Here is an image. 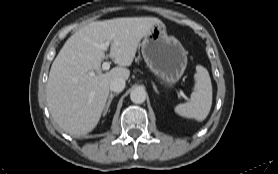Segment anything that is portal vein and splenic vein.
Here are the masks:
<instances>
[{
    "label": "portal vein and splenic vein",
    "mask_w": 278,
    "mask_h": 174,
    "mask_svg": "<svg viewBox=\"0 0 278 174\" xmlns=\"http://www.w3.org/2000/svg\"><path fill=\"white\" fill-rule=\"evenodd\" d=\"M109 44H110L109 42H105V43H102V44L100 45V47H101L103 50H107L108 47H109ZM109 68H110V63L107 62V61L103 62V64H102V69H103L104 71H106V70H109ZM89 75H90V76H94V75H95V72L91 71V72H89ZM181 96H182L185 100H188V98L185 96L184 93H181Z\"/></svg>",
    "instance_id": "1"
}]
</instances>
